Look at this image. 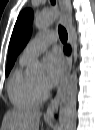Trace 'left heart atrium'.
Here are the masks:
<instances>
[{
  "mask_svg": "<svg viewBox=\"0 0 95 130\" xmlns=\"http://www.w3.org/2000/svg\"><path fill=\"white\" fill-rule=\"evenodd\" d=\"M44 64L46 68L44 83L46 87L52 88L58 84L63 74L62 57L58 52H51L44 58Z\"/></svg>",
  "mask_w": 95,
  "mask_h": 130,
  "instance_id": "39dd6f15",
  "label": "left heart atrium"
}]
</instances>
